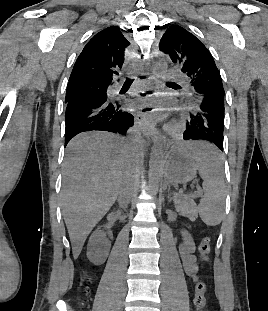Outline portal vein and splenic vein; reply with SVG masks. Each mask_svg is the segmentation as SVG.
Wrapping results in <instances>:
<instances>
[{"label": "portal vein and splenic vein", "mask_w": 268, "mask_h": 311, "mask_svg": "<svg viewBox=\"0 0 268 311\" xmlns=\"http://www.w3.org/2000/svg\"><path fill=\"white\" fill-rule=\"evenodd\" d=\"M199 195H200V193H199V192H197V193H196V196H199Z\"/></svg>", "instance_id": "obj_1"}]
</instances>
